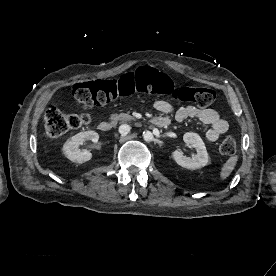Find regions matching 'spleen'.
I'll return each instance as SVG.
<instances>
[{"label": "spleen", "mask_w": 276, "mask_h": 276, "mask_svg": "<svg viewBox=\"0 0 276 276\" xmlns=\"http://www.w3.org/2000/svg\"><path fill=\"white\" fill-rule=\"evenodd\" d=\"M237 160L238 158L236 156H232L223 164L220 171L221 180H225L227 177L230 176L236 166Z\"/></svg>", "instance_id": "obj_1"}]
</instances>
